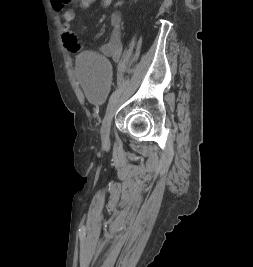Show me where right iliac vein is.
<instances>
[{
  "label": "right iliac vein",
  "instance_id": "1",
  "mask_svg": "<svg viewBox=\"0 0 253 267\" xmlns=\"http://www.w3.org/2000/svg\"><path fill=\"white\" fill-rule=\"evenodd\" d=\"M119 99H120V94L117 95L108 105L103 122H102V126H101V130H100V134L102 137V140L104 143H108L109 142V134H110V125H111V121L114 117V114L119 106Z\"/></svg>",
  "mask_w": 253,
  "mask_h": 267
}]
</instances>
